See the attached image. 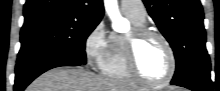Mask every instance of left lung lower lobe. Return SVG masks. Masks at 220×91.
Segmentation results:
<instances>
[{"instance_id":"obj_1","label":"left lung lower lobe","mask_w":220,"mask_h":91,"mask_svg":"<svg viewBox=\"0 0 220 91\" xmlns=\"http://www.w3.org/2000/svg\"><path fill=\"white\" fill-rule=\"evenodd\" d=\"M173 85L188 88L193 91H212V81L210 79V72L201 71L179 82H171Z\"/></svg>"}]
</instances>
